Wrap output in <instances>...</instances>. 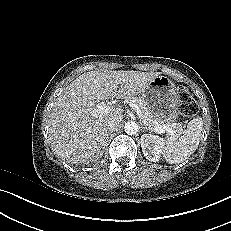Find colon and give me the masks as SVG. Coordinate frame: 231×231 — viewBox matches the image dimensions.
<instances>
[{
    "label": "colon",
    "mask_w": 231,
    "mask_h": 231,
    "mask_svg": "<svg viewBox=\"0 0 231 231\" xmlns=\"http://www.w3.org/2000/svg\"><path fill=\"white\" fill-rule=\"evenodd\" d=\"M178 109L184 118H193L197 113V104L191 94L184 87L177 88Z\"/></svg>",
    "instance_id": "obj_1"
}]
</instances>
